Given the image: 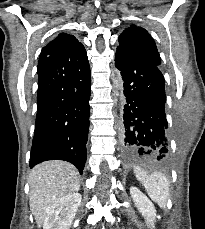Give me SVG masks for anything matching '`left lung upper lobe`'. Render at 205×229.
<instances>
[{"label": "left lung upper lobe", "mask_w": 205, "mask_h": 229, "mask_svg": "<svg viewBox=\"0 0 205 229\" xmlns=\"http://www.w3.org/2000/svg\"><path fill=\"white\" fill-rule=\"evenodd\" d=\"M160 66L161 59L156 44L150 34L143 28L131 25L119 36V46Z\"/></svg>", "instance_id": "obj_1"}]
</instances>
